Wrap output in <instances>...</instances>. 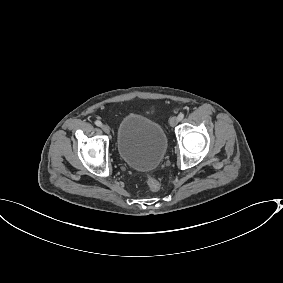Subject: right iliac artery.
I'll use <instances>...</instances> for the list:
<instances>
[{
	"label": "right iliac artery",
	"mask_w": 283,
	"mask_h": 283,
	"mask_svg": "<svg viewBox=\"0 0 283 283\" xmlns=\"http://www.w3.org/2000/svg\"><path fill=\"white\" fill-rule=\"evenodd\" d=\"M95 124H96L97 126H99V127H101V126H102V122H101V121H99V120L95 121Z\"/></svg>",
	"instance_id": "obj_1"
}]
</instances>
